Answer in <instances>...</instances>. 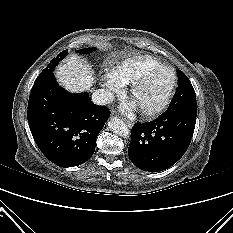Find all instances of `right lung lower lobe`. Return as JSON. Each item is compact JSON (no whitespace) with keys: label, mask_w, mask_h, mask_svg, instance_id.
<instances>
[{"label":"right lung lower lobe","mask_w":233,"mask_h":233,"mask_svg":"<svg viewBox=\"0 0 233 233\" xmlns=\"http://www.w3.org/2000/svg\"><path fill=\"white\" fill-rule=\"evenodd\" d=\"M28 123L42 153L61 167L78 166L94 153L96 138L110 116L88 93L61 88L54 74L34 83L28 103Z\"/></svg>","instance_id":"1"}]
</instances>
